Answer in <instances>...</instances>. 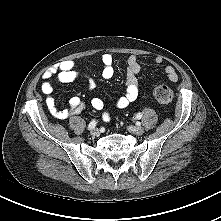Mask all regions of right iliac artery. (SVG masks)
<instances>
[{
    "instance_id": "right-iliac-artery-1",
    "label": "right iliac artery",
    "mask_w": 221,
    "mask_h": 221,
    "mask_svg": "<svg viewBox=\"0 0 221 221\" xmlns=\"http://www.w3.org/2000/svg\"><path fill=\"white\" fill-rule=\"evenodd\" d=\"M97 122L95 120L91 121L88 125V130L95 128Z\"/></svg>"
}]
</instances>
